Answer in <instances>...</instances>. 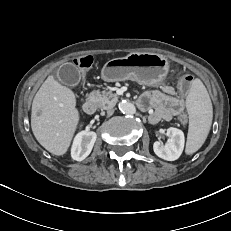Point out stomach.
Wrapping results in <instances>:
<instances>
[{"label": "stomach", "instance_id": "stomach-1", "mask_svg": "<svg viewBox=\"0 0 231 231\" xmlns=\"http://www.w3.org/2000/svg\"><path fill=\"white\" fill-rule=\"evenodd\" d=\"M169 70L168 60L156 53H131L123 58L109 60L101 70L104 81L134 80L154 85L162 81Z\"/></svg>", "mask_w": 231, "mask_h": 231}]
</instances>
